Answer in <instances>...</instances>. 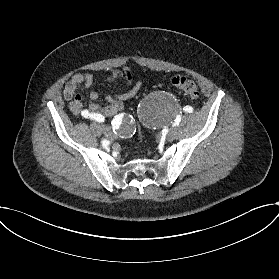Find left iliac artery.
<instances>
[{
	"instance_id": "obj_1",
	"label": "left iliac artery",
	"mask_w": 279,
	"mask_h": 279,
	"mask_svg": "<svg viewBox=\"0 0 279 279\" xmlns=\"http://www.w3.org/2000/svg\"><path fill=\"white\" fill-rule=\"evenodd\" d=\"M183 110H184L185 112L191 113V112L193 111V108H192L191 106H186V107L183 108ZM177 125H178V124H177Z\"/></svg>"
}]
</instances>
